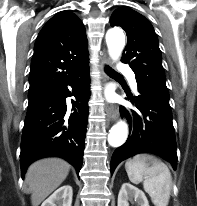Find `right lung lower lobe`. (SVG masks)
<instances>
[{
	"mask_svg": "<svg viewBox=\"0 0 197 206\" xmlns=\"http://www.w3.org/2000/svg\"><path fill=\"white\" fill-rule=\"evenodd\" d=\"M71 86L73 93L68 90ZM89 66L53 90L43 99L28 105L21 140V175L35 160L57 156L71 163L79 173L88 120ZM74 95L72 113L67 112V96Z\"/></svg>",
	"mask_w": 197,
	"mask_h": 206,
	"instance_id": "obj_1",
	"label": "right lung lower lobe"
}]
</instances>
